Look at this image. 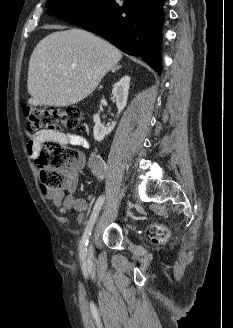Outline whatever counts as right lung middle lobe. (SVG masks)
<instances>
[{"instance_id":"obj_1","label":"right lung middle lobe","mask_w":233,"mask_h":328,"mask_svg":"<svg viewBox=\"0 0 233 328\" xmlns=\"http://www.w3.org/2000/svg\"><path fill=\"white\" fill-rule=\"evenodd\" d=\"M100 0H48L46 8L50 15L64 18L69 14L86 9Z\"/></svg>"}]
</instances>
